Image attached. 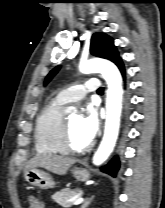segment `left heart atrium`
<instances>
[{"instance_id": "left-heart-atrium-1", "label": "left heart atrium", "mask_w": 165, "mask_h": 208, "mask_svg": "<svg viewBox=\"0 0 165 208\" xmlns=\"http://www.w3.org/2000/svg\"><path fill=\"white\" fill-rule=\"evenodd\" d=\"M99 130V118L97 109L89 106L85 115L81 117V132L84 138L90 143Z\"/></svg>"}]
</instances>
